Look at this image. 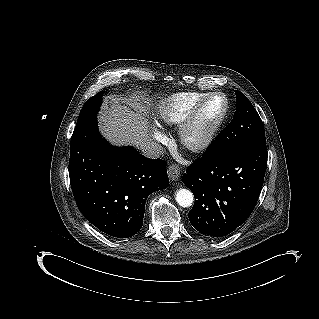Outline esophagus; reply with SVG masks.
I'll use <instances>...</instances> for the list:
<instances>
[{
    "label": "esophagus",
    "instance_id": "34e87169",
    "mask_svg": "<svg viewBox=\"0 0 319 319\" xmlns=\"http://www.w3.org/2000/svg\"><path fill=\"white\" fill-rule=\"evenodd\" d=\"M180 167L176 164H172L168 168V177L171 181H177L180 177Z\"/></svg>",
    "mask_w": 319,
    "mask_h": 319
}]
</instances>
